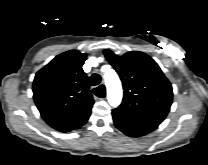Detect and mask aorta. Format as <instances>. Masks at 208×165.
I'll use <instances>...</instances> for the list:
<instances>
[{
	"instance_id": "obj_1",
	"label": "aorta",
	"mask_w": 208,
	"mask_h": 165,
	"mask_svg": "<svg viewBox=\"0 0 208 165\" xmlns=\"http://www.w3.org/2000/svg\"><path fill=\"white\" fill-rule=\"evenodd\" d=\"M105 85L107 88L108 102L112 107H117L122 100V85L115 71L109 70L104 75Z\"/></svg>"
}]
</instances>
